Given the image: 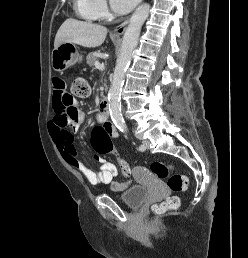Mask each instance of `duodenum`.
Returning <instances> with one entry per match:
<instances>
[{"label":"duodenum","mask_w":248,"mask_h":258,"mask_svg":"<svg viewBox=\"0 0 248 258\" xmlns=\"http://www.w3.org/2000/svg\"><path fill=\"white\" fill-rule=\"evenodd\" d=\"M108 100L107 98H103L102 105L100 109V115L105 120H110V112H109V106H108Z\"/></svg>","instance_id":"obj_1"}]
</instances>
